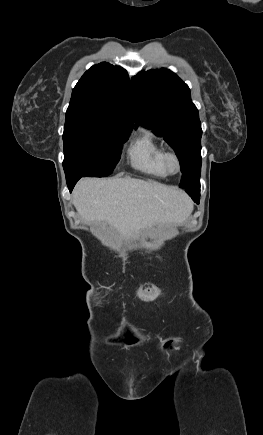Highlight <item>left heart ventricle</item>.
<instances>
[{
	"mask_svg": "<svg viewBox=\"0 0 263 435\" xmlns=\"http://www.w3.org/2000/svg\"><path fill=\"white\" fill-rule=\"evenodd\" d=\"M172 166L174 167V162H172Z\"/></svg>",
	"mask_w": 263,
	"mask_h": 435,
	"instance_id": "left-heart-ventricle-1",
	"label": "left heart ventricle"
}]
</instances>
